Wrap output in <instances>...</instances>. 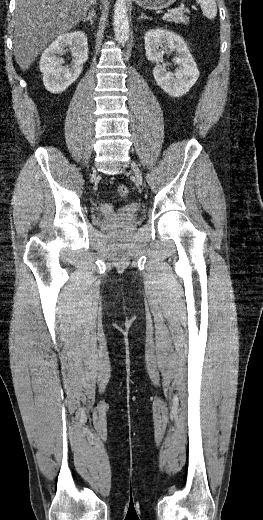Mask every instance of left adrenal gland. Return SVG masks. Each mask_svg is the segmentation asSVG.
I'll return each mask as SVG.
<instances>
[{
  "instance_id": "left-adrenal-gland-1",
  "label": "left adrenal gland",
  "mask_w": 263,
  "mask_h": 520,
  "mask_svg": "<svg viewBox=\"0 0 263 520\" xmlns=\"http://www.w3.org/2000/svg\"><path fill=\"white\" fill-rule=\"evenodd\" d=\"M142 19H150L149 17H147L143 12L141 13V16L139 17V20H142Z\"/></svg>"
}]
</instances>
